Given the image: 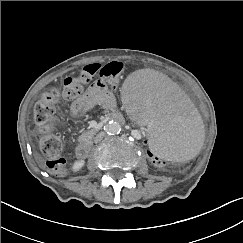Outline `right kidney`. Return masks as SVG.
Listing matches in <instances>:
<instances>
[{
	"label": "right kidney",
	"instance_id": "obj_1",
	"mask_svg": "<svg viewBox=\"0 0 243 243\" xmlns=\"http://www.w3.org/2000/svg\"><path fill=\"white\" fill-rule=\"evenodd\" d=\"M84 164H85L84 160H77L74 162L72 170L74 172L79 171L84 166Z\"/></svg>",
	"mask_w": 243,
	"mask_h": 243
}]
</instances>
